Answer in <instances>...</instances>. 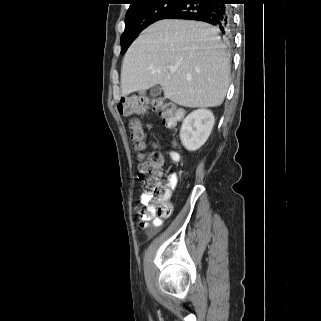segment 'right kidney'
Returning a JSON list of instances; mask_svg holds the SVG:
<instances>
[{
  "label": "right kidney",
  "mask_w": 321,
  "mask_h": 321,
  "mask_svg": "<svg viewBox=\"0 0 321 321\" xmlns=\"http://www.w3.org/2000/svg\"><path fill=\"white\" fill-rule=\"evenodd\" d=\"M215 118L207 109H198L191 112L183 121L180 130V139L189 151L199 149L208 139Z\"/></svg>",
  "instance_id": "1"
}]
</instances>
